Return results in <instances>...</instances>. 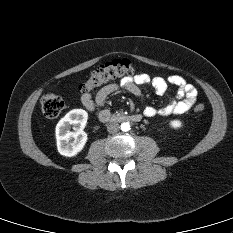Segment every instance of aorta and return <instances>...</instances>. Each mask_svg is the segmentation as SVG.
<instances>
[{
  "label": "aorta",
  "mask_w": 233,
  "mask_h": 233,
  "mask_svg": "<svg viewBox=\"0 0 233 233\" xmlns=\"http://www.w3.org/2000/svg\"><path fill=\"white\" fill-rule=\"evenodd\" d=\"M121 130L127 132L130 130V124L128 122H124L121 124Z\"/></svg>",
  "instance_id": "1"
}]
</instances>
